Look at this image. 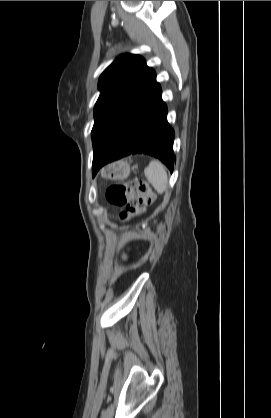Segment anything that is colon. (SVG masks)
<instances>
[{
  "label": "colon",
  "mask_w": 271,
  "mask_h": 418,
  "mask_svg": "<svg viewBox=\"0 0 271 418\" xmlns=\"http://www.w3.org/2000/svg\"><path fill=\"white\" fill-rule=\"evenodd\" d=\"M106 198L113 205L124 206L120 218L127 220L142 213L153 201L154 194L146 182L132 181L111 185L106 191ZM134 199L136 202L133 201Z\"/></svg>",
  "instance_id": "5ec220e1"
}]
</instances>
